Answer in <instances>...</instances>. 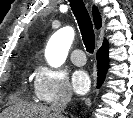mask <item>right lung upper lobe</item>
I'll return each mask as SVG.
<instances>
[{
    "instance_id": "right-lung-upper-lobe-1",
    "label": "right lung upper lobe",
    "mask_w": 133,
    "mask_h": 118,
    "mask_svg": "<svg viewBox=\"0 0 133 118\" xmlns=\"http://www.w3.org/2000/svg\"><path fill=\"white\" fill-rule=\"evenodd\" d=\"M93 19H94L95 27L97 29L100 28L101 27V17H100L98 9L95 6L93 7ZM104 42H106V41H104Z\"/></svg>"
}]
</instances>
